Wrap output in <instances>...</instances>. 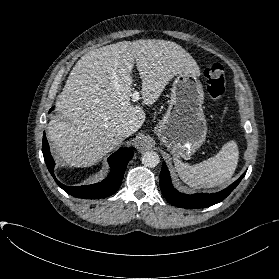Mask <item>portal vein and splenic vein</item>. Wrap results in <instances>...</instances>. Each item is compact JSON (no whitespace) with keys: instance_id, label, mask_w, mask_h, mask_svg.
I'll use <instances>...</instances> for the list:
<instances>
[{"instance_id":"1","label":"portal vein and splenic vein","mask_w":279,"mask_h":279,"mask_svg":"<svg viewBox=\"0 0 279 279\" xmlns=\"http://www.w3.org/2000/svg\"><path fill=\"white\" fill-rule=\"evenodd\" d=\"M131 98H132L133 102L138 101L139 98H140L139 92L138 91H134L133 94H131Z\"/></svg>"}]
</instances>
